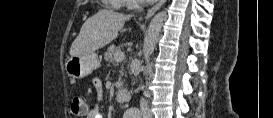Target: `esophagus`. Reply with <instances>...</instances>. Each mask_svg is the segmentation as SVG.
I'll return each mask as SVG.
<instances>
[{
    "label": "esophagus",
    "mask_w": 273,
    "mask_h": 118,
    "mask_svg": "<svg viewBox=\"0 0 273 118\" xmlns=\"http://www.w3.org/2000/svg\"><path fill=\"white\" fill-rule=\"evenodd\" d=\"M166 2V0H160L158 1L153 7H151L147 14H146V19H149L150 17H152L155 12Z\"/></svg>",
    "instance_id": "esophagus-1"
}]
</instances>
